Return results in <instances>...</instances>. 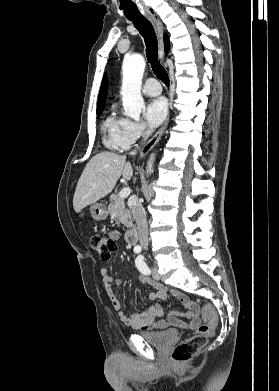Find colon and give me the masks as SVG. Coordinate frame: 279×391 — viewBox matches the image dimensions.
Returning a JSON list of instances; mask_svg holds the SVG:
<instances>
[{
  "label": "colon",
  "mask_w": 279,
  "mask_h": 391,
  "mask_svg": "<svg viewBox=\"0 0 279 391\" xmlns=\"http://www.w3.org/2000/svg\"><path fill=\"white\" fill-rule=\"evenodd\" d=\"M89 245L96 252L102 261H107L116 251L115 240L108 236L92 234L88 238ZM203 318L205 323L200 325L196 334L183 340L173 351V359L177 363H185L194 357L202 349L209 337H211L218 324V313L211 304L203 307Z\"/></svg>",
  "instance_id": "obj_1"
}]
</instances>
